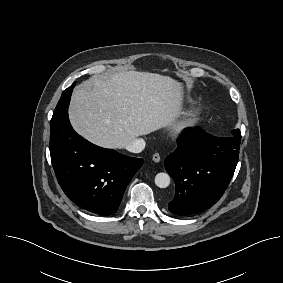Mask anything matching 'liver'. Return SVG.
<instances>
[{
	"instance_id": "liver-1",
	"label": "liver",
	"mask_w": 283,
	"mask_h": 283,
	"mask_svg": "<svg viewBox=\"0 0 283 283\" xmlns=\"http://www.w3.org/2000/svg\"><path fill=\"white\" fill-rule=\"evenodd\" d=\"M182 101V85L171 77L121 71L79 85L69 118L76 132L90 142L122 149L139 136L173 125Z\"/></svg>"
}]
</instances>
